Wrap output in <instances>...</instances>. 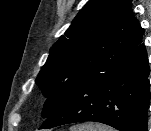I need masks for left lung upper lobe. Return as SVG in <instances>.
<instances>
[{"mask_svg":"<svg viewBox=\"0 0 151 131\" xmlns=\"http://www.w3.org/2000/svg\"><path fill=\"white\" fill-rule=\"evenodd\" d=\"M137 25L130 0H90L52 46L35 81L47 97L42 117L54 114L87 73L116 68L131 58Z\"/></svg>","mask_w":151,"mask_h":131,"instance_id":"5c2ea615","label":"left lung upper lobe"}]
</instances>
